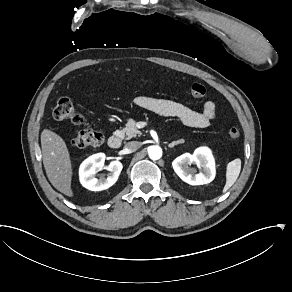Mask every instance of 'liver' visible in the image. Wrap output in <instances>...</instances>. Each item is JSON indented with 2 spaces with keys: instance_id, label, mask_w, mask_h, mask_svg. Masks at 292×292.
Returning <instances> with one entry per match:
<instances>
[{
  "instance_id": "1",
  "label": "liver",
  "mask_w": 292,
  "mask_h": 292,
  "mask_svg": "<svg viewBox=\"0 0 292 292\" xmlns=\"http://www.w3.org/2000/svg\"><path fill=\"white\" fill-rule=\"evenodd\" d=\"M43 164L51 184L61 193L72 197V168L64 140L56 133L44 129L41 133Z\"/></svg>"
}]
</instances>
